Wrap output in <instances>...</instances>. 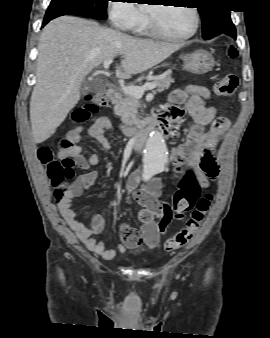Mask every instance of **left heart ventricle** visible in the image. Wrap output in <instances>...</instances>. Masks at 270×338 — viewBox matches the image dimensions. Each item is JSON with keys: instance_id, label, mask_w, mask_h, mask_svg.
I'll return each mask as SVG.
<instances>
[{"instance_id": "b2bd125f", "label": "left heart ventricle", "mask_w": 270, "mask_h": 338, "mask_svg": "<svg viewBox=\"0 0 270 338\" xmlns=\"http://www.w3.org/2000/svg\"><path fill=\"white\" fill-rule=\"evenodd\" d=\"M149 11L159 28L166 33L184 35L194 27V16L188 7L150 5Z\"/></svg>"}]
</instances>
